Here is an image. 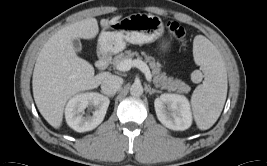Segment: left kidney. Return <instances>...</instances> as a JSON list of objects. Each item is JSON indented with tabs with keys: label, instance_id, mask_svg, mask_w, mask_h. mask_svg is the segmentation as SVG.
I'll use <instances>...</instances> for the list:
<instances>
[{
	"label": "left kidney",
	"instance_id": "1",
	"mask_svg": "<svg viewBox=\"0 0 267 166\" xmlns=\"http://www.w3.org/2000/svg\"><path fill=\"white\" fill-rule=\"evenodd\" d=\"M154 107L158 120L171 130L183 131L192 124L190 104L185 96L162 94L155 99Z\"/></svg>",
	"mask_w": 267,
	"mask_h": 166
}]
</instances>
